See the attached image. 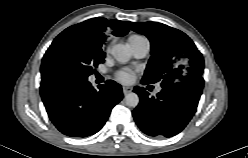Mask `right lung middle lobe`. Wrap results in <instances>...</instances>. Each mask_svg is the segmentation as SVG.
<instances>
[{
	"label": "right lung middle lobe",
	"mask_w": 248,
	"mask_h": 158,
	"mask_svg": "<svg viewBox=\"0 0 248 158\" xmlns=\"http://www.w3.org/2000/svg\"><path fill=\"white\" fill-rule=\"evenodd\" d=\"M104 58L101 49L90 47L73 35L59 34L42 59L41 74L51 82L85 81Z\"/></svg>",
	"instance_id": "1"
}]
</instances>
